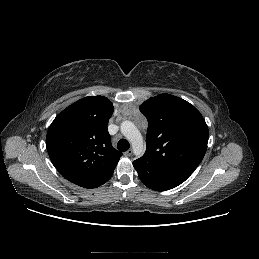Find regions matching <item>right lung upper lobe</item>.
Returning <instances> with one entry per match:
<instances>
[{
  "label": "right lung upper lobe",
  "instance_id": "cb5924a9",
  "mask_svg": "<svg viewBox=\"0 0 259 259\" xmlns=\"http://www.w3.org/2000/svg\"><path fill=\"white\" fill-rule=\"evenodd\" d=\"M113 110L106 97L88 96L51 123L46 148L55 168L70 182L96 188L111 178L122 156L112 147L107 129Z\"/></svg>",
  "mask_w": 259,
  "mask_h": 259
}]
</instances>
